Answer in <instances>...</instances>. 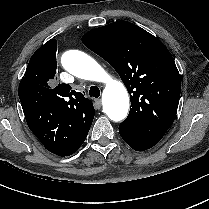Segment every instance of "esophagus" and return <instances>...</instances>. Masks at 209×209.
<instances>
[{
    "mask_svg": "<svg viewBox=\"0 0 209 209\" xmlns=\"http://www.w3.org/2000/svg\"><path fill=\"white\" fill-rule=\"evenodd\" d=\"M95 106H96L97 108H101V99H96V100H95Z\"/></svg>",
    "mask_w": 209,
    "mask_h": 209,
    "instance_id": "1",
    "label": "esophagus"
}]
</instances>
